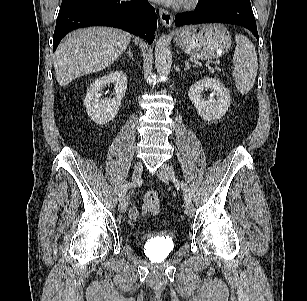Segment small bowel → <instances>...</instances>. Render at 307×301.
Returning a JSON list of instances; mask_svg holds the SVG:
<instances>
[{
	"mask_svg": "<svg viewBox=\"0 0 307 301\" xmlns=\"http://www.w3.org/2000/svg\"><path fill=\"white\" fill-rule=\"evenodd\" d=\"M138 215L137 209L135 207H132L129 211V216L131 219H135Z\"/></svg>",
	"mask_w": 307,
	"mask_h": 301,
	"instance_id": "obj_1",
	"label": "small bowel"
}]
</instances>
